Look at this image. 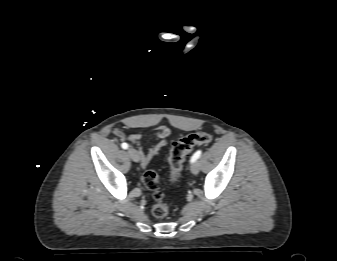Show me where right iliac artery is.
<instances>
[{
	"label": "right iliac artery",
	"mask_w": 337,
	"mask_h": 261,
	"mask_svg": "<svg viewBox=\"0 0 337 261\" xmlns=\"http://www.w3.org/2000/svg\"><path fill=\"white\" fill-rule=\"evenodd\" d=\"M121 147H122L123 149H127V148H128V144H127V143H122V144H121Z\"/></svg>",
	"instance_id": "1"
}]
</instances>
